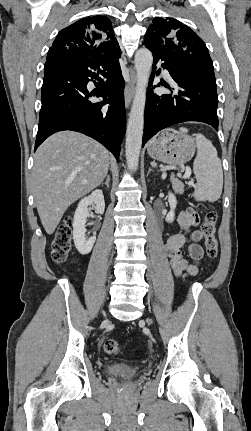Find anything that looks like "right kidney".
Instances as JSON below:
<instances>
[{"mask_svg": "<svg viewBox=\"0 0 251 431\" xmlns=\"http://www.w3.org/2000/svg\"><path fill=\"white\" fill-rule=\"evenodd\" d=\"M95 205V211L103 214L105 210L104 195L101 190L93 191L89 196L84 197L78 204L73 219V239L75 247L82 255L91 252L96 237L86 238V219L89 216L88 206Z\"/></svg>", "mask_w": 251, "mask_h": 431, "instance_id": "obj_1", "label": "right kidney"}]
</instances>
